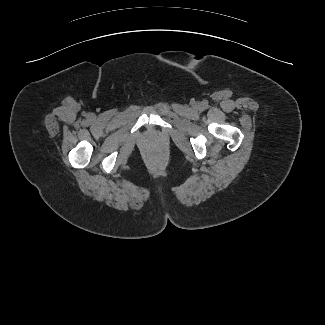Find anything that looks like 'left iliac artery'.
<instances>
[{"label":"left iliac artery","mask_w":325,"mask_h":325,"mask_svg":"<svg viewBox=\"0 0 325 325\" xmlns=\"http://www.w3.org/2000/svg\"><path fill=\"white\" fill-rule=\"evenodd\" d=\"M207 106V104L206 103H203V107H206Z\"/></svg>","instance_id":"obj_1"}]
</instances>
